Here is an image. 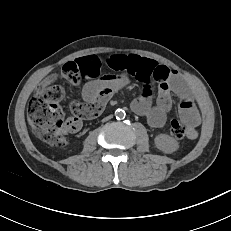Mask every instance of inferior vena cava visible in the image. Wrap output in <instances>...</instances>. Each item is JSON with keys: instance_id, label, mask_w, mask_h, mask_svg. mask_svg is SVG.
Returning <instances> with one entry per match:
<instances>
[{"instance_id": "inferior-vena-cava-1", "label": "inferior vena cava", "mask_w": 231, "mask_h": 231, "mask_svg": "<svg viewBox=\"0 0 231 231\" xmlns=\"http://www.w3.org/2000/svg\"><path fill=\"white\" fill-rule=\"evenodd\" d=\"M111 118H112V115L106 117L104 120H109V119H111Z\"/></svg>"}]
</instances>
